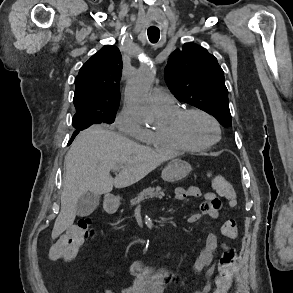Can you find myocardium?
<instances>
[{
    "mask_svg": "<svg viewBox=\"0 0 293 293\" xmlns=\"http://www.w3.org/2000/svg\"><path fill=\"white\" fill-rule=\"evenodd\" d=\"M190 114H200L204 117H206L215 127L216 130V137L205 144L201 145H196L191 142H189L183 132V123L185 118L190 115ZM169 132L183 145L188 147L189 149L193 151H202V150H207L217 144L221 138H222V129L221 125L218 122V120L209 112L200 109V108H185V109H180L168 122L167 126Z\"/></svg>",
    "mask_w": 293,
    "mask_h": 293,
    "instance_id": "myocardium-1",
    "label": "myocardium"
}]
</instances>
